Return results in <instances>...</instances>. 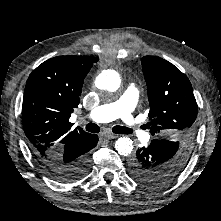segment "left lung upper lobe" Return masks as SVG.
I'll use <instances>...</instances> for the list:
<instances>
[{"instance_id":"left-lung-upper-lobe-1","label":"left lung upper lobe","mask_w":221,"mask_h":221,"mask_svg":"<svg viewBox=\"0 0 221 221\" xmlns=\"http://www.w3.org/2000/svg\"><path fill=\"white\" fill-rule=\"evenodd\" d=\"M141 62L150 106L147 126L153 136L168 137L158 139L167 148V154L160 164L163 175L152 180L168 183L182 171L190 158L198 107L189 79L173 64L155 56H145Z\"/></svg>"}]
</instances>
